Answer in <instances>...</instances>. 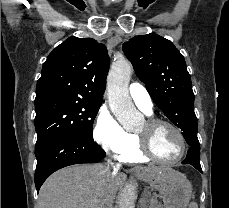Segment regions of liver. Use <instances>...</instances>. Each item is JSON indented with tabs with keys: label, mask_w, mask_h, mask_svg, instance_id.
<instances>
[{
	"label": "liver",
	"mask_w": 229,
	"mask_h": 208,
	"mask_svg": "<svg viewBox=\"0 0 229 208\" xmlns=\"http://www.w3.org/2000/svg\"><path fill=\"white\" fill-rule=\"evenodd\" d=\"M138 174H158L183 176L169 166H149V168H131ZM108 168L103 164H77L58 170L52 174L40 188L36 208H100L102 200L107 208H112L117 190L124 186L126 174L109 176Z\"/></svg>",
	"instance_id": "obj_1"
}]
</instances>
